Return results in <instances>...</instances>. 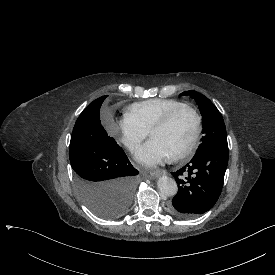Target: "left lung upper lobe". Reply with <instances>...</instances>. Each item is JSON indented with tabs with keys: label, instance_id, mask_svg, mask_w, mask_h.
Wrapping results in <instances>:
<instances>
[{
	"label": "left lung upper lobe",
	"instance_id": "left-lung-upper-lobe-1",
	"mask_svg": "<svg viewBox=\"0 0 275 275\" xmlns=\"http://www.w3.org/2000/svg\"><path fill=\"white\" fill-rule=\"evenodd\" d=\"M182 95H191L197 102L202 114L204 137L195 156L217 147L228 148L226 128L221 113L204 95L194 91H185Z\"/></svg>",
	"mask_w": 275,
	"mask_h": 275
}]
</instances>
